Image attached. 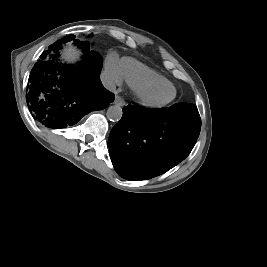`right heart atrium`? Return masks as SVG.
I'll return each instance as SVG.
<instances>
[{"mask_svg": "<svg viewBox=\"0 0 267 267\" xmlns=\"http://www.w3.org/2000/svg\"><path fill=\"white\" fill-rule=\"evenodd\" d=\"M104 75L110 85H120L123 82L121 61H118L114 53L106 57Z\"/></svg>", "mask_w": 267, "mask_h": 267, "instance_id": "1", "label": "right heart atrium"}]
</instances>
